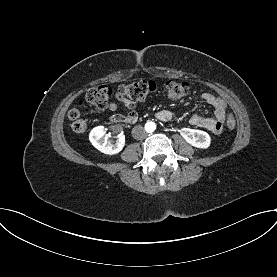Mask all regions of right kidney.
Listing matches in <instances>:
<instances>
[{
  "mask_svg": "<svg viewBox=\"0 0 277 277\" xmlns=\"http://www.w3.org/2000/svg\"><path fill=\"white\" fill-rule=\"evenodd\" d=\"M117 130L120 131V133L118 134L115 143L110 141L108 137L105 136L106 131L104 126H97L93 128L89 134V140L100 152L108 155L117 154L125 145V136L123 132H121V128L118 127Z\"/></svg>",
  "mask_w": 277,
  "mask_h": 277,
  "instance_id": "ca27d5eb",
  "label": "right kidney"
}]
</instances>
